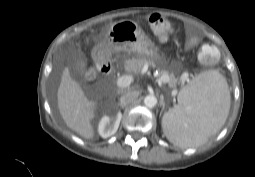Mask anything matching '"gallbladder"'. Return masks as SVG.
<instances>
[{
  "instance_id": "obj_1",
  "label": "gallbladder",
  "mask_w": 255,
  "mask_h": 177,
  "mask_svg": "<svg viewBox=\"0 0 255 177\" xmlns=\"http://www.w3.org/2000/svg\"><path fill=\"white\" fill-rule=\"evenodd\" d=\"M72 71L73 73H83L85 70V55L82 52L75 53L72 61Z\"/></svg>"
}]
</instances>
